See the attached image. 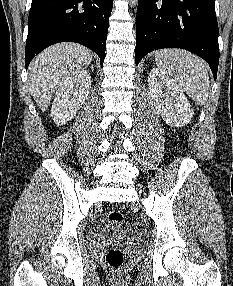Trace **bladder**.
Here are the masks:
<instances>
[{"label":"bladder","mask_w":233,"mask_h":286,"mask_svg":"<svg viewBox=\"0 0 233 286\" xmlns=\"http://www.w3.org/2000/svg\"><path fill=\"white\" fill-rule=\"evenodd\" d=\"M114 234L122 235L130 241H135L138 238V233L133 229V227L128 225H121L117 222L105 223L101 225L97 230L98 239H102Z\"/></svg>","instance_id":"31cf9c89"}]
</instances>
